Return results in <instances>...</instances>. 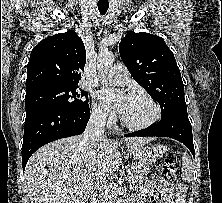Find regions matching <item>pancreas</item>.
I'll return each mask as SVG.
<instances>
[{
    "mask_svg": "<svg viewBox=\"0 0 222 203\" xmlns=\"http://www.w3.org/2000/svg\"><path fill=\"white\" fill-rule=\"evenodd\" d=\"M127 170L130 183H137L139 181H142L151 169L142 164L134 162L128 166Z\"/></svg>",
    "mask_w": 222,
    "mask_h": 203,
    "instance_id": "pancreas-1",
    "label": "pancreas"
}]
</instances>
